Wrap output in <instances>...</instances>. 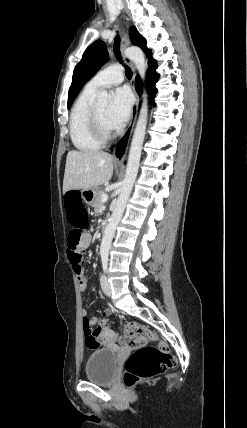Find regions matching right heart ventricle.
Segmentation results:
<instances>
[{"label":"right heart ventricle","instance_id":"obj_1","mask_svg":"<svg viewBox=\"0 0 247 428\" xmlns=\"http://www.w3.org/2000/svg\"><path fill=\"white\" fill-rule=\"evenodd\" d=\"M97 91L86 86L76 99L70 114L69 130L72 143L83 152L96 151L103 144L94 136L89 124Z\"/></svg>","mask_w":247,"mask_h":428}]
</instances>
